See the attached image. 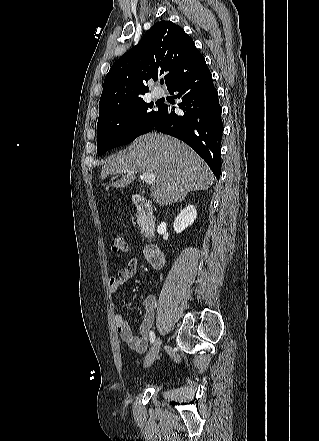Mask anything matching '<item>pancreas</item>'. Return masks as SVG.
I'll return each instance as SVG.
<instances>
[{
  "instance_id": "pancreas-1",
  "label": "pancreas",
  "mask_w": 319,
  "mask_h": 441,
  "mask_svg": "<svg viewBox=\"0 0 319 441\" xmlns=\"http://www.w3.org/2000/svg\"><path fill=\"white\" fill-rule=\"evenodd\" d=\"M137 223H138V225H139V227H140V230H141V234L143 235V236H147V233H148V230H147V228H146V225H145V222H144V220L141 218V217H139L138 219H137Z\"/></svg>"
}]
</instances>
